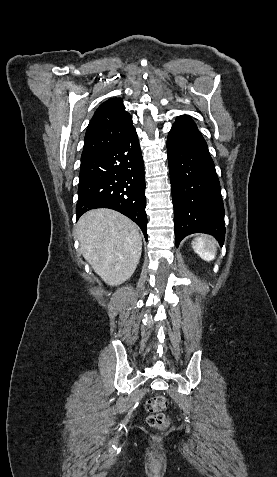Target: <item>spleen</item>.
<instances>
[{"label":"spleen","mask_w":277,"mask_h":477,"mask_svg":"<svg viewBox=\"0 0 277 477\" xmlns=\"http://www.w3.org/2000/svg\"><path fill=\"white\" fill-rule=\"evenodd\" d=\"M194 251L204 260L211 261L216 255V245L211 239L199 237L192 242Z\"/></svg>","instance_id":"3e777b00"}]
</instances>
